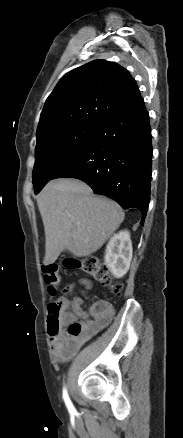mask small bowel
<instances>
[{
  "instance_id": "1",
  "label": "small bowel",
  "mask_w": 183,
  "mask_h": 438,
  "mask_svg": "<svg viewBox=\"0 0 183 438\" xmlns=\"http://www.w3.org/2000/svg\"><path fill=\"white\" fill-rule=\"evenodd\" d=\"M81 283L86 287L90 286L86 280H82ZM82 314L85 313L79 303H77L73 310L64 316L59 331L56 334H50L53 355L60 362L72 358L85 342L108 326L113 318L114 309L112 305L106 301L95 302L88 310L87 315L89 320L83 324L82 333L78 337H69L64 331V327Z\"/></svg>"
}]
</instances>
